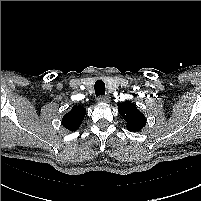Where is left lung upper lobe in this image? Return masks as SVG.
Instances as JSON below:
<instances>
[{
	"instance_id": "5c2ea615",
	"label": "left lung upper lobe",
	"mask_w": 201,
	"mask_h": 201,
	"mask_svg": "<svg viewBox=\"0 0 201 201\" xmlns=\"http://www.w3.org/2000/svg\"><path fill=\"white\" fill-rule=\"evenodd\" d=\"M118 111L126 121L127 129L131 132L140 131L146 124V118L134 103L122 102L118 103Z\"/></svg>"
}]
</instances>
